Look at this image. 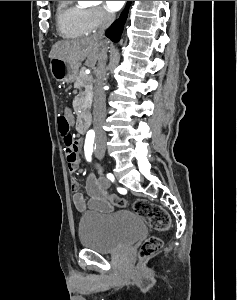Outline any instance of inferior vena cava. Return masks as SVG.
Instances as JSON below:
<instances>
[{
	"instance_id": "inferior-vena-cava-1",
	"label": "inferior vena cava",
	"mask_w": 237,
	"mask_h": 300,
	"mask_svg": "<svg viewBox=\"0 0 237 300\" xmlns=\"http://www.w3.org/2000/svg\"><path fill=\"white\" fill-rule=\"evenodd\" d=\"M115 21L114 13H108L105 11L103 15V21L96 33H93V39L97 41H102L104 33L110 25ZM107 59V49L103 47L98 59V67L96 69V81L94 87V131L96 133V139H103L106 141V133H104L102 127L105 123L106 117V103H105V91H104V81L106 77L105 65Z\"/></svg>"
}]
</instances>
